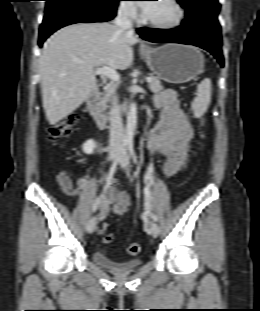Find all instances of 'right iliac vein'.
<instances>
[{"label":"right iliac vein","instance_id":"63e3f726","mask_svg":"<svg viewBox=\"0 0 260 311\" xmlns=\"http://www.w3.org/2000/svg\"><path fill=\"white\" fill-rule=\"evenodd\" d=\"M118 151H119V147L117 146H113L111 147L110 149V153H109V157L108 159L113 162L115 161L118 157ZM96 228V218L95 217H91L88 222H87V225H86V231L88 233H92Z\"/></svg>","mask_w":260,"mask_h":311}]
</instances>
